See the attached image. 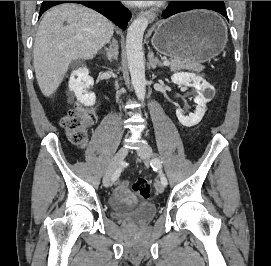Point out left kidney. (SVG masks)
I'll use <instances>...</instances> for the list:
<instances>
[{
  "mask_svg": "<svg viewBox=\"0 0 271 266\" xmlns=\"http://www.w3.org/2000/svg\"><path fill=\"white\" fill-rule=\"evenodd\" d=\"M171 80L174 84L192 86L197 89L198 95L194 98L197 106L194 113L185 116L180 110H176V116L182 125L186 127L197 125L206 112V104L211 100V96H205L203 93L207 90L209 92L213 91V87L202 77L193 73H175L171 76Z\"/></svg>",
  "mask_w": 271,
  "mask_h": 266,
  "instance_id": "obj_1",
  "label": "left kidney"
}]
</instances>
